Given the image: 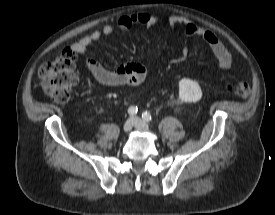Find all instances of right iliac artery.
<instances>
[{
	"mask_svg": "<svg viewBox=\"0 0 275 215\" xmlns=\"http://www.w3.org/2000/svg\"><path fill=\"white\" fill-rule=\"evenodd\" d=\"M137 111H138L137 106H131V107H129V109H128V114H129L130 116H134V115L137 113Z\"/></svg>",
	"mask_w": 275,
	"mask_h": 215,
	"instance_id": "obj_1",
	"label": "right iliac artery"
}]
</instances>
